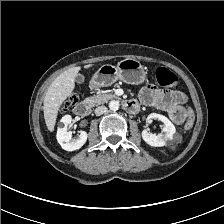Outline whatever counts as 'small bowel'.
<instances>
[{
	"instance_id": "small-bowel-1",
	"label": "small bowel",
	"mask_w": 224,
	"mask_h": 224,
	"mask_svg": "<svg viewBox=\"0 0 224 224\" xmlns=\"http://www.w3.org/2000/svg\"><path fill=\"white\" fill-rule=\"evenodd\" d=\"M186 100L187 97L183 92L160 90L151 85L143 87L139 92L140 103L163 110L176 124L185 120L184 108L181 105Z\"/></svg>"
}]
</instances>
